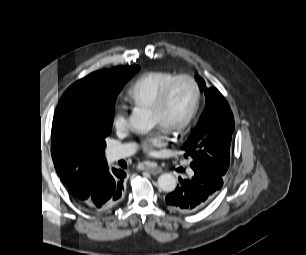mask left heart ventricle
<instances>
[{
	"mask_svg": "<svg viewBox=\"0 0 306 255\" xmlns=\"http://www.w3.org/2000/svg\"><path fill=\"white\" fill-rule=\"evenodd\" d=\"M194 95L191 83L188 81L178 83L163 110L151 112L153 122L168 130L178 125L188 115Z\"/></svg>",
	"mask_w": 306,
	"mask_h": 255,
	"instance_id": "obj_1",
	"label": "left heart ventricle"
}]
</instances>
